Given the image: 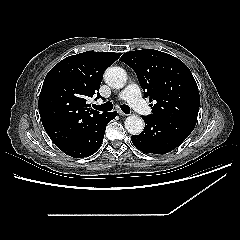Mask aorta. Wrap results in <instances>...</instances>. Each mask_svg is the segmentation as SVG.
Listing matches in <instances>:
<instances>
[{
	"instance_id": "1",
	"label": "aorta",
	"mask_w": 240,
	"mask_h": 240,
	"mask_svg": "<svg viewBox=\"0 0 240 240\" xmlns=\"http://www.w3.org/2000/svg\"><path fill=\"white\" fill-rule=\"evenodd\" d=\"M105 82L114 89H121L127 81V74L121 67H109L104 73ZM125 129L131 135H138L144 129V121L137 115L128 116L125 119Z\"/></svg>"
}]
</instances>
